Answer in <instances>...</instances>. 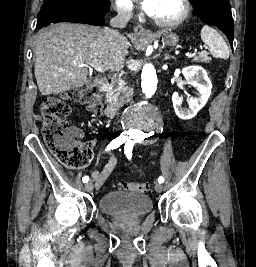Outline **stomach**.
I'll list each match as a JSON object with an SVG mask.
<instances>
[{"mask_svg": "<svg viewBox=\"0 0 256 267\" xmlns=\"http://www.w3.org/2000/svg\"><path fill=\"white\" fill-rule=\"evenodd\" d=\"M159 36H161L162 42H165L167 46H177L179 42L177 34H174V32H169V30H162Z\"/></svg>", "mask_w": 256, "mask_h": 267, "instance_id": "stomach-1", "label": "stomach"}]
</instances>
